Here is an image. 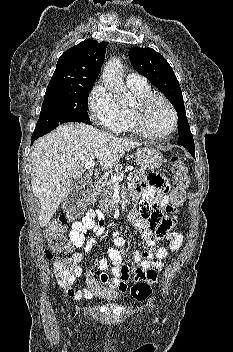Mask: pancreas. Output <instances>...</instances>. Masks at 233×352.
<instances>
[{
    "mask_svg": "<svg viewBox=\"0 0 233 352\" xmlns=\"http://www.w3.org/2000/svg\"><path fill=\"white\" fill-rule=\"evenodd\" d=\"M145 177L143 170L135 169L129 174L131 181H139ZM114 184L112 180H104L101 187V199L99 200V207L105 211H111L114 208V202L112 200Z\"/></svg>",
    "mask_w": 233,
    "mask_h": 352,
    "instance_id": "pancreas-1",
    "label": "pancreas"
}]
</instances>
